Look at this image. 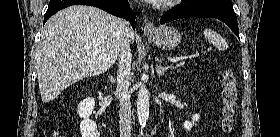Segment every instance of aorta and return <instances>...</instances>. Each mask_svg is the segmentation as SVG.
I'll return each mask as SVG.
<instances>
[{
	"instance_id": "762f6f07",
	"label": "aorta",
	"mask_w": 280,
	"mask_h": 137,
	"mask_svg": "<svg viewBox=\"0 0 280 137\" xmlns=\"http://www.w3.org/2000/svg\"><path fill=\"white\" fill-rule=\"evenodd\" d=\"M140 85L137 97V116L141 128H144L149 117V92L144 83H140Z\"/></svg>"
}]
</instances>
